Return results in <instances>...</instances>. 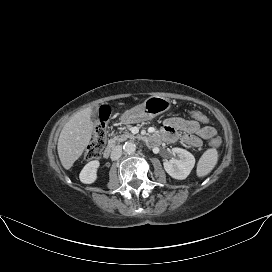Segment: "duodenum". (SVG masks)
<instances>
[{"mask_svg":"<svg viewBox=\"0 0 272 272\" xmlns=\"http://www.w3.org/2000/svg\"><path fill=\"white\" fill-rule=\"evenodd\" d=\"M147 142H149V143H155V142H157L156 137H155V134L149 136V137L147 138ZM114 146H115V143H114V142H111V143L109 144V146L105 149L104 154H103L105 158H108V157L110 156L112 150L114 149Z\"/></svg>","mask_w":272,"mask_h":272,"instance_id":"410a0bca","label":"duodenum"}]
</instances>
